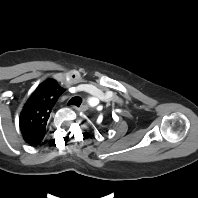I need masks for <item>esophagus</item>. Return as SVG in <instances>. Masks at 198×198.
<instances>
[{
  "mask_svg": "<svg viewBox=\"0 0 198 198\" xmlns=\"http://www.w3.org/2000/svg\"><path fill=\"white\" fill-rule=\"evenodd\" d=\"M72 108H74L75 110L77 111H86L88 109V106L87 105H81L80 107L78 106H72Z\"/></svg>",
  "mask_w": 198,
  "mask_h": 198,
  "instance_id": "34e87169",
  "label": "esophagus"
}]
</instances>
